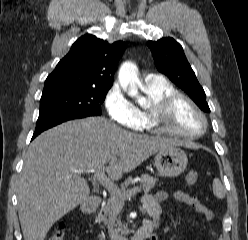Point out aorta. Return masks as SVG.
<instances>
[{"label":"aorta","mask_w":248,"mask_h":240,"mask_svg":"<svg viewBox=\"0 0 248 240\" xmlns=\"http://www.w3.org/2000/svg\"><path fill=\"white\" fill-rule=\"evenodd\" d=\"M119 83L122 89L127 92V94L136 98L139 104H144L146 99L139 95L138 93V68L137 65L132 62H124L118 73Z\"/></svg>","instance_id":"1"}]
</instances>
